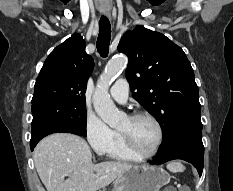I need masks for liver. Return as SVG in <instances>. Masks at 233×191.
<instances>
[{
    "instance_id": "6515ba94",
    "label": "liver",
    "mask_w": 233,
    "mask_h": 191,
    "mask_svg": "<svg viewBox=\"0 0 233 191\" xmlns=\"http://www.w3.org/2000/svg\"><path fill=\"white\" fill-rule=\"evenodd\" d=\"M34 163L47 191H97L132 167L125 162L93 164L87 142L70 133L42 139L34 150ZM67 175L70 177L64 180Z\"/></svg>"
}]
</instances>
